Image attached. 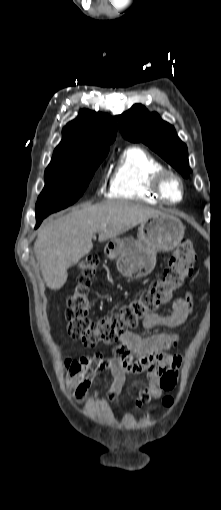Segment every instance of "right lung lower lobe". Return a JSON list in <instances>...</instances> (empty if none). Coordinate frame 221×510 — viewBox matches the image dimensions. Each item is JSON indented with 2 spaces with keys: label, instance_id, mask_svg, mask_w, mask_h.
<instances>
[{
  "label": "right lung lower lobe",
  "instance_id": "right-lung-lower-lobe-1",
  "mask_svg": "<svg viewBox=\"0 0 221 510\" xmlns=\"http://www.w3.org/2000/svg\"><path fill=\"white\" fill-rule=\"evenodd\" d=\"M45 217H46V216H39V217H36V227H35V228H37V227L41 224L42 220H43Z\"/></svg>",
  "mask_w": 221,
  "mask_h": 510
}]
</instances>
